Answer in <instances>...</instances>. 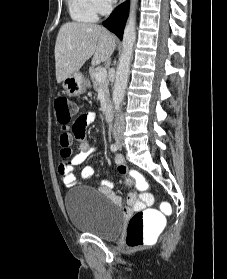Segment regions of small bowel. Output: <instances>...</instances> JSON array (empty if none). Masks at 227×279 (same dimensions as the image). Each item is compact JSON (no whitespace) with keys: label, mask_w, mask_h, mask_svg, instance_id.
<instances>
[{"label":"small bowel","mask_w":227,"mask_h":279,"mask_svg":"<svg viewBox=\"0 0 227 279\" xmlns=\"http://www.w3.org/2000/svg\"><path fill=\"white\" fill-rule=\"evenodd\" d=\"M95 119L93 113L89 112L85 115L84 127L90 125ZM74 138L79 143V152L69 159H63L58 163L57 172L66 187H72L79 183V179L82 181H89L93 174L94 169L91 166L84 167L79 174L74 171V167L80 165L86 161V159L95 151L91 147L86 139L85 132L72 133ZM118 162L122 161L121 157L117 158ZM135 171L124 168L121 171L122 175L126 179V183L131 184L133 181V173ZM112 183L108 180L104 181L100 185V190L106 194V196L116 205H122V199L111 189ZM152 202V196L150 194L139 195L136 188H133L132 192L127 197V205L132 206L135 210H140Z\"/></svg>","instance_id":"obj_1"}]
</instances>
